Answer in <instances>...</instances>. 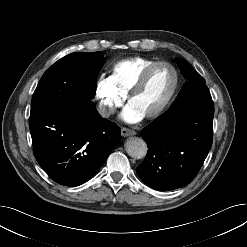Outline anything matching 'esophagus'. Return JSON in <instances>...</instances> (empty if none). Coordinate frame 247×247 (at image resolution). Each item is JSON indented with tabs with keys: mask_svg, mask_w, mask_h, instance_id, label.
<instances>
[{
	"mask_svg": "<svg viewBox=\"0 0 247 247\" xmlns=\"http://www.w3.org/2000/svg\"><path fill=\"white\" fill-rule=\"evenodd\" d=\"M135 134H136V132L134 130H131V129H128V128H125V127H123L121 129V135L123 137H128V136L135 135Z\"/></svg>",
	"mask_w": 247,
	"mask_h": 247,
	"instance_id": "esophagus-1",
	"label": "esophagus"
}]
</instances>
